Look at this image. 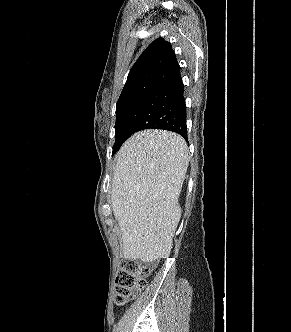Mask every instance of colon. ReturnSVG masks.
Masks as SVG:
<instances>
[{"label":"colon","mask_w":291,"mask_h":332,"mask_svg":"<svg viewBox=\"0 0 291 332\" xmlns=\"http://www.w3.org/2000/svg\"><path fill=\"white\" fill-rule=\"evenodd\" d=\"M152 266L134 259L124 260L116 277L115 302L123 305L138 294L146 285Z\"/></svg>","instance_id":"colon-1"}]
</instances>
